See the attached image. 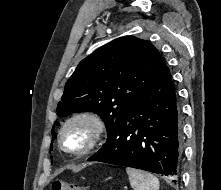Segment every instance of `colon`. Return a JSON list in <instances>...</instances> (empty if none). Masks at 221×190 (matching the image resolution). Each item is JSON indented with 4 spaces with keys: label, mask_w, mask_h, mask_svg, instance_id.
Segmentation results:
<instances>
[{
    "label": "colon",
    "mask_w": 221,
    "mask_h": 190,
    "mask_svg": "<svg viewBox=\"0 0 221 190\" xmlns=\"http://www.w3.org/2000/svg\"><path fill=\"white\" fill-rule=\"evenodd\" d=\"M51 190H87L77 184H69L61 180H55L51 184Z\"/></svg>",
    "instance_id": "colon-1"
}]
</instances>
